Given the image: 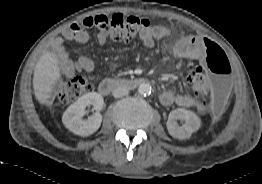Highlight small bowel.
I'll list each match as a JSON object with an SVG mask.
<instances>
[{"instance_id":"obj_1","label":"small bowel","mask_w":262,"mask_h":184,"mask_svg":"<svg viewBox=\"0 0 262 184\" xmlns=\"http://www.w3.org/2000/svg\"><path fill=\"white\" fill-rule=\"evenodd\" d=\"M170 30L162 25L150 26L140 35L142 43L146 47H154L158 40L168 37ZM62 36L66 40H74L78 43L85 44L89 40V36L83 29L82 25L74 23L63 30ZM107 36L98 33L97 42L99 45L105 44ZM206 40L194 35L180 38L173 47V55L177 58L194 60L203 66L208 64L206 55L204 54V44ZM55 51L59 59L61 72L66 76H72L76 72H92L94 70V62L86 56H82L76 61L69 59L68 52L63 46V39L57 38L55 41ZM160 101L164 106L176 104L183 108H194L202 111V105L192 96L187 94L176 93L172 90H166L161 94Z\"/></svg>"}]
</instances>
